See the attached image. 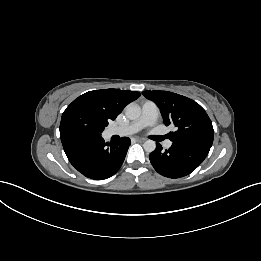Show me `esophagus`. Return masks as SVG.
<instances>
[{
    "label": "esophagus",
    "mask_w": 261,
    "mask_h": 261,
    "mask_svg": "<svg viewBox=\"0 0 261 261\" xmlns=\"http://www.w3.org/2000/svg\"><path fill=\"white\" fill-rule=\"evenodd\" d=\"M136 141H137V142H144L145 139H144V138H136Z\"/></svg>",
    "instance_id": "esophagus-1"
}]
</instances>
